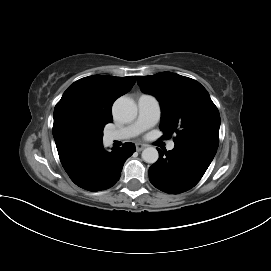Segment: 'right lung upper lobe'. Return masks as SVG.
Returning a JSON list of instances; mask_svg holds the SVG:
<instances>
[{"mask_svg":"<svg viewBox=\"0 0 271 271\" xmlns=\"http://www.w3.org/2000/svg\"><path fill=\"white\" fill-rule=\"evenodd\" d=\"M135 80V76L93 75L77 80L64 92L54 109L52 132L65 171L103 147L102 138L91 126L113 121V102L127 93Z\"/></svg>","mask_w":271,"mask_h":271,"instance_id":"cb5924a9","label":"right lung upper lobe"}]
</instances>
